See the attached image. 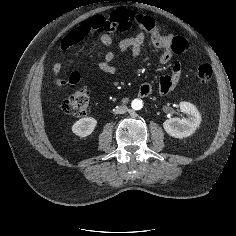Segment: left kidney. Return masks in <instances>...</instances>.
I'll return each instance as SVG.
<instances>
[{
    "instance_id": "obj_1",
    "label": "left kidney",
    "mask_w": 236,
    "mask_h": 236,
    "mask_svg": "<svg viewBox=\"0 0 236 236\" xmlns=\"http://www.w3.org/2000/svg\"><path fill=\"white\" fill-rule=\"evenodd\" d=\"M181 112L188 115V118H172L163 123L164 130L172 137L186 138L191 136L200 126L201 115L197 108L189 102H180Z\"/></svg>"
}]
</instances>
